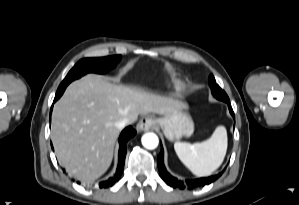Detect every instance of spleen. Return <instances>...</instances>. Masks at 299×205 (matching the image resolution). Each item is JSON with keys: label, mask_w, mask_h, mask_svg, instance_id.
<instances>
[{"label": "spleen", "mask_w": 299, "mask_h": 205, "mask_svg": "<svg viewBox=\"0 0 299 205\" xmlns=\"http://www.w3.org/2000/svg\"><path fill=\"white\" fill-rule=\"evenodd\" d=\"M175 152L180 161L195 175L208 176L222 164L227 151V132L218 126L206 141L190 144L175 142Z\"/></svg>", "instance_id": "3e777b00"}]
</instances>
